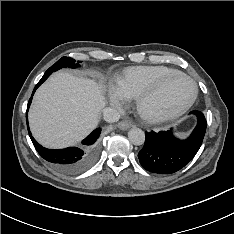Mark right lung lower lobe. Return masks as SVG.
<instances>
[{
  "instance_id": "1",
  "label": "right lung lower lobe",
  "mask_w": 234,
  "mask_h": 234,
  "mask_svg": "<svg viewBox=\"0 0 234 234\" xmlns=\"http://www.w3.org/2000/svg\"><path fill=\"white\" fill-rule=\"evenodd\" d=\"M49 77V74H46L42 79L37 83L32 93V96L35 90ZM32 96L28 102L27 111L31 104ZM27 126L28 119L26 114ZM30 138L34 147L36 148L39 155L52 163L58 170L67 173V174H76L84 171L92 165L95 161L98 151V138L101 132V128L94 130L87 138L82 141L84 147H68L65 149H47L36 142L32 137L30 130L28 128Z\"/></svg>"
}]
</instances>
